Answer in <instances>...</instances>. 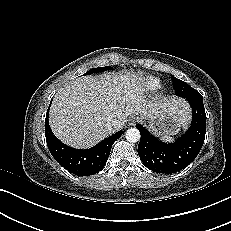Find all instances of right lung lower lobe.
I'll return each instance as SVG.
<instances>
[{
    "label": "right lung lower lobe",
    "instance_id": "obj_1",
    "mask_svg": "<svg viewBox=\"0 0 231 231\" xmlns=\"http://www.w3.org/2000/svg\"><path fill=\"white\" fill-rule=\"evenodd\" d=\"M48 115L49 108L45 119V136L50 153L61 166L78 176L93 175L102 170L108 160L113 143L123 133V131H120L105 138L96 146L87 150L74 149L61 143L52 133Z\"/></svg>",
    "mask_w": 231,
    "mask_h": 231
}]
</instances>
